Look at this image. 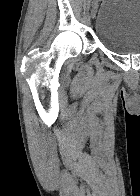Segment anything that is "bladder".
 I'll return each instance as SVG.
<instances>
[{"mask_svg": "<svg viewBox=\"0 0 140 196\" xmlns=\"http://www.w3.org/2000/svg\"><path fill=\"white\" fill-rule=\"evenodd\" d=\"M95 34L100 44L115 54H140V0H104Z\"/></svg>", "mask_w": 140, "mask_h": 196, "instance_id": "obj_1", "label": "bladder"}]
</instances>
